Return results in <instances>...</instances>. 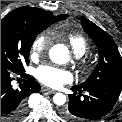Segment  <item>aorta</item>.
I'll list each match as a JSON object with an SVG mask.
<instances>
[{
  "label": "aorta",
  "instance_id": "762f6f07",
  "mask_svg": "<svg viewBox=\"0 0 122 122\" xmlns=\"http://www.w3.org/2000/svg\"><path fill=\"white\" fill-rule=\"evenodd\" d=\"M49 56L52 62L65 64L69 60V50L63 44H56L50 49ZM53 101L56 105L62 106L66 102V96L63 93H56L53 96Z\"/></svg>",
  "mask_w": 122,
  "mask_h": 122
}]
</instances>
